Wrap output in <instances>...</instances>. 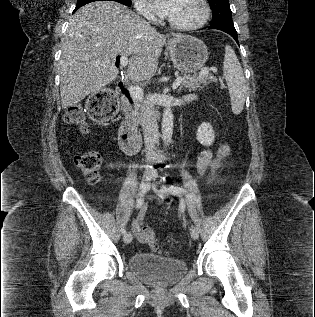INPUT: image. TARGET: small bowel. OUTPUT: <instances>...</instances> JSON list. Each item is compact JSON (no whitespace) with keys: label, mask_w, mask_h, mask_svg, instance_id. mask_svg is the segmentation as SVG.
Instances as JSON below:
<instances>
[{"label":"small bowel","mask_w":315,"mask_h":317,"mask_svg":"<svg viewBox=\"0 0 315 317\" xmlns=\"http://www.w3.org/2000/svg\"><path fill=\"white\" fill-rule=\"evenodd\" d=\"M192 100L193 97H188ZM229 156V146L227 142H222L215 150L213 148L205 149L199 156L196 163V170L199 175L208 173L213 175L222 165L223 161ZM147 212V206L144 205L138 216L132 224V229L137 238L141 239V230L143 221Z\"/></svg>","instance_id":"small-bowel-1"}]
</instances>
